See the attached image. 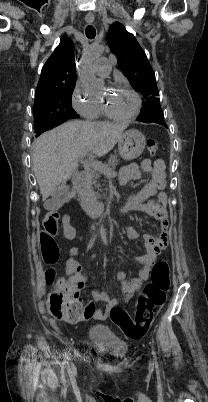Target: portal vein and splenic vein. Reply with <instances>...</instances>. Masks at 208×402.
<instances>
[{"mask_svg":"<svg viewBox=\"0 0 208 402\" xmlns=\"http://www.w3.org/2000/svg\"><path fill=\"white\" fill-rule=\"evenodd\" d=\"M88 152H89V150H86V152H83V154H81V156H80L81 160H82V158H85V156H87ZM87 160L89 162H82V164H86V166H90V168H93V170H101L105 166L114 167L115 164H117V161H114V160H110L107 163H105V162H96V160H92L91 156H88Z\"/></svg>","mask_w":208,"mask_h":402,"instance_id":"18ae733b","label":"portal vein and splenic vein"}]
</instances>
